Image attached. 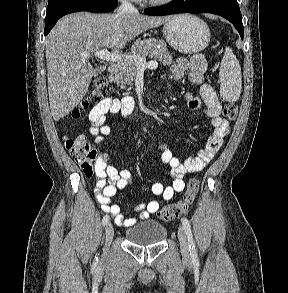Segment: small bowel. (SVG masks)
<instances>
[{
	"label": "small bowel",
	"instance_id": "small-bowel-1",
	"mask_svg": "<svg viewBox=\"0 0 288 293\" xmlns=\"http://www.w3.org/2000/svg\"><path fill=\"white\" fill-rule=\"evenodd\" d=\"M206 63L201 55H195L190 61L184 58H177L171 67L172 75L176 80L182 79L186 72H189V80L199 87V97L188 92L185 99L190 109L199 110L205 107L206 115L214 127L203 149L197 156L188 157L181 162L173 155L171 150L165 144H159L156 147L162 163L167 164L171 170L169 177L170 186H164L160 182L153 183L151 192L156 196H161L165 201L173 198L176 192L183 191L185 187L184 177L188 173L202 171L210 160L215 156L222 146L225 138L230 132V125L226 119L221 116L222 106L218 96L211 85L205 82L204 73ZM135 109L134 99L130 96L123 98L105 99L95 105L89 113L91 122L90 133L95 136V142L99 147L106 144V139L110 135V127L106 124L108 114L120 113L125 117L132 115ZM95 194L101 208L104 212L111 214L118 226L129 227L138 220H146L149 216L157 212L160 203L157 200L140 203L135 206L137 215L125 218L118 205L112 204L111 198L119 190L125 189L131 182V173L128 170H118L107 153H101L95 162Z\"/></svg>",
	"mask_w": 288,
	"mask_h": 293
}]
</instances>
